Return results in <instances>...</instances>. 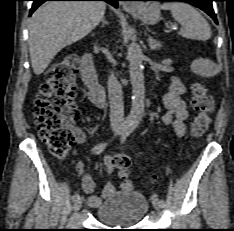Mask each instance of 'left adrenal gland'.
<instances>
[{
	"mask_svg": "<svg viewBox=\"0 0 234 231\" xmlns=\"http://www.w3.org/2000/svg\"><path fill=\"white\" fill-rule=\"evenodd\" d=\"M148 43L151 50H156L161 48L160 42L153 39L151 35H148Z\"/></svg>",
	"mask_w": 234,
	"mask_h": 231,
	"instance_id": "1",
	"label": "left adrenal gland"
}]
</instances>
